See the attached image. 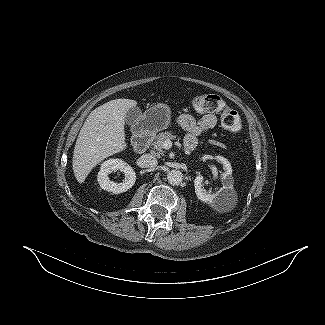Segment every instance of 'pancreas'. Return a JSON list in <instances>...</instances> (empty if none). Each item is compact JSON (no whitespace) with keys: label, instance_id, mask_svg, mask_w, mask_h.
Instances as JSON below:
<instances>
[{"label":"pancreas","instance_id":"pancreas-1","mask_svg":"<svg viewBox=\"0 0 325 325\" xmlns=\"http://www.w3.org/2000/svg\"><path fill=\"white\" fill-rule=\"evenodd\" d=\"M176 136L173 135V133L165 131V132H161L159 133L157 136H155L152 140V146L154 149H156V151L158 152V155H163L164 151H163V142L165 140H173L175 139ZM209 143L220 146V147H225L222 143L215 141V140H210Z\"/></svg>","mask_w":325,"mask_h":325}]
</instances>
